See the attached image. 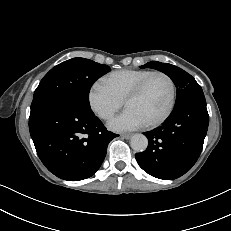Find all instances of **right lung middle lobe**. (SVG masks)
Returning <instances> with one entry per match:
<instances>
[{
    "label": "right lung middle lobe",
    "mask_w": 231,
    "mask_h": 231,
    "mask_svg": "<svg viewBox=\"0 0 231 231\" xmlns=\"http://www.w3.org/2000/svg\"><path fill=\"white\" fill-rule=\"evenodd\" d=\"M111 69L85 58H73L51 69L34 92L31 113L62 97L72 98L90 107L89 91L93 83Z\"/></svg>",
    "instance_id": "right-lung-middle-lobe-1"
}]
</instances>
